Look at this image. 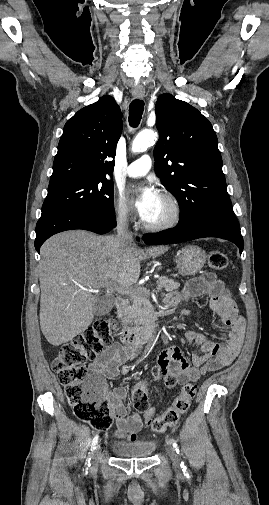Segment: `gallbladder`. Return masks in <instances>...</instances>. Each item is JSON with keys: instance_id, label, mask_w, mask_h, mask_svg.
I'll return each instance as SVG.
<instances>
[{"instance_id": "gallbladder-1", "label": "gallbladder", "mask_w": 269, "mask_h": 505, "mask_svg": "<svg viewBox=\"0 0 269 505\" xmlns=\"http://www.w3.org/2000/svg\"><path fill=\"white\" fill-rule=\"evenodd\" d=\"M113 305L114 301L112 297L110 296L101 297L95 305V315L103 316L108 314L113 308Z\"/></svg>"}]
</instances>
